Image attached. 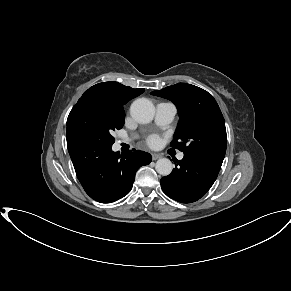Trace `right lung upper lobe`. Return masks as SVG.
Returning a JSON list of instances; mask_svg holds the SVG:
<instances>
[{
    "mask_svg": "<svg viewBox=\"0 0 291 291\" xmlns=\"http://www.w3.org/2000/svg\"><path fill=\"white\" fill-rule=\"evenodd\" d=\"M143 92L142 88L133 89L118 82H104L90 87L79 100L88 98L108 103L117 109H123L124 104Z\"/></svg>",
    "mask_w": 291,
    "mask_h": 291,
    "instance_id": "obj_1",
    "label": "right lung upper lobe"
}]
</instances>
